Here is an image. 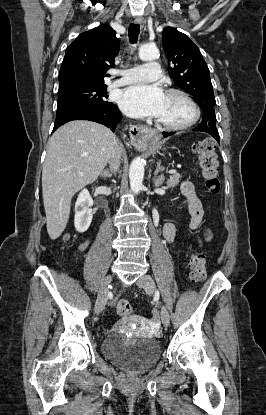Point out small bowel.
I'll list each match as a JSON object with an SVG mask.
<instances>
[{"label":"small bowel","instance_id":"1","mask_svg":"<svg viewBox=\"0 0 266 415\" xmlns=\"http://www.w3.org/2000/svg\"><path fill=\"white\" fill-rule=\"evenodd\" d=\"M181 192L184 198V205L186 206L191 217L189 227L191 229H197L201 227L203 231V239L205 241H210L212 238L211 232L205 227L201 226L204 210L200 199L197 197L194 191V186L191 182L184 181L181 184ZM175 235V225L171 222H166L163 226V236L165 240L168 243H172L174 241ZM200 242H202V240H200ZM88 245L89 241H85L80 245L79 248L81 251H83L88 247Z\"/></svg>","mask_w":266,"mask_h":415}]
</instances>
